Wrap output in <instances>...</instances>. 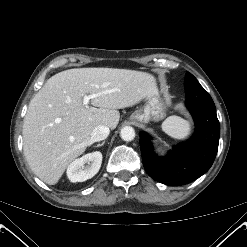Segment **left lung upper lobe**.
Segmentation results:
<instances>
[{"mask_svg": "<svg viewBox=\"0 0 247 247\" xmlns=\"http://www.w3.org/2000/svg\"><path fill=\"white\" fill-rule=\"evenodd\" d=\"M195 78L192 74H190L189 72L186 73V77H185V80H190V79H193Z\"/></svg>", "mask_w": 247, "mask_h": 247, "instance_id": "5c2ea615", "label": "left lung upper lobe"}]
</instances>
